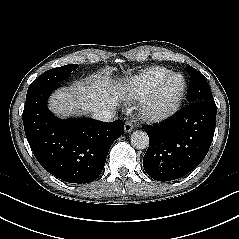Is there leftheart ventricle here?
Returning <instances> with one entry per match:
<instances>
[{
  "label": "left heart ventricle",
  "mask_w": 239,
  "mask_h": 239,
  "mask_svg": "<svg viewBox=\"0 0 239 239\" xmlns=\"http://www.w3.org/2000/svg\"><path fill=\"white\" fill-rule=\"evenodd\" d=\"M180 87V80L179 79H173L170 81L160 92V94L156 98V105L162 106L167 104L173 95L178 91Z\"/></svg>",
  "instance_id": "1"
}]
</instances>
